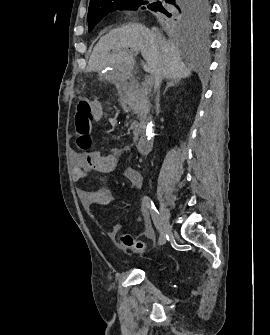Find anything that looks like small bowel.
Masks as SVG:
<instances>
[{
  "instance_id": "obj_1",
  "label": "small bowel",
  "mask_w": 270,
  "mask_h": 335,
  "mask_svg": "<svg viewBox=\"0 0 270 335\" xmlns=\"http://www.w3.org/2000/svg\"><path fill=\"white\" fill-rule=\"evenodd\" d=\"M93 110L92 115L96 121H99L103 117V109L98 102L92 103ZM126 152L125 148H116L109 154H102L98 151H92L89 153H75L72 159V175L75 181H81L85 179L91 172L98 173H111L119 168V164L124 157ZM121 170L125 178L130 182L134 190H139L142 187L143 179L141 173L131 167L122 166ZM81 203L96 222L99 227H103V224L95 217L93 212L94 205H100L103 208H109L115 200L114 194L107 188L97 189H79L78 191ZM141 213L144 218L142 233L144 236H150L152 234V226L149 221V214L145 207L141 208ZM119 230V225H114L109 231H106L107 235L114 236Z\"/></svg>"
}]
</instances>
